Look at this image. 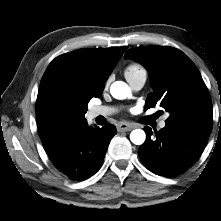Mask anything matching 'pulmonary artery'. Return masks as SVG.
I'll list each match as a JSON object with an SVG mask.
<instances>
[{"mask_svg":"<svg viewBox=\"0 0 221 221\" xmlns=\"http://www.w3.org/2000/svg\"><path fill=\"white\" fill-rule=\"evenodd\" d=\"M126 75V74H125ZM126 78L132 87L133 90L138 91L140 90L146 81V73L145 71H141L133 76L126 75ZM118 109L111 106H95L90 110V117L95 118L97 116H108L114 114ZM160 128L165 127V121H161L159 123Z\"/></svg>","mask_w":221,"mask_h":221,"instance_id":"e3ab8cb5","label":"pulmonary artery"}]
</instances>
